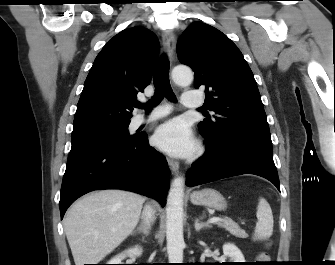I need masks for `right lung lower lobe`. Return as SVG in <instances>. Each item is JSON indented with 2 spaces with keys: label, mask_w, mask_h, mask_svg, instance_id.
Here are the masks:
<instances>
[{
  "label": "right lung lower lobe",
  "mask_w": 335,
  "mask_h": 265,
  "mask_svg": "<svg viewBox=\"0 0 335 265\" xmlns=\"http://www.w3.org/2000/svg\"><path fill=\"white\" fill-rule=\"evenodd\" d=\"M169 167L150 147L147 134L118 141L88 142L71 147L62 180L60 214L80 196L97 189H124L166 203Z\"/></svg>",
  "instance_id": "1"
}]
</instances>
